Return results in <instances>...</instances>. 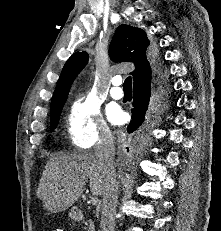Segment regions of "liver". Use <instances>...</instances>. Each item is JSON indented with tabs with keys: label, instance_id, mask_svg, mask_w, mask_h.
Here are the masks:
<instances>
[{
	"label": "liver",
	"instance_id": "liver-1",
	"mask_svg": "<svg viewBox=\"0 0 221 231\" xmlns=\"http://www.w3.org/2000/svg\"><path fill=\"white\" fill-rule=\"evenodd\" d=\"M88 182L93 195H102L105 175L96 157L89 153H59L47 162L36 195L44 209L57 213L71 207Z\"/></svg>",
	"mask_w": 221,
	"mask_h": 231
}]
</instances>
